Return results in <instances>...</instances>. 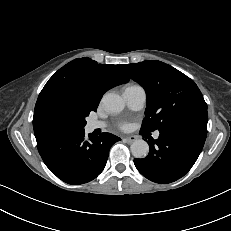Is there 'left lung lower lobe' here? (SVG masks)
<instances>
[{
  "mask_svg": "<svg viewBox=\"0 0 231 231\" xmlns=\"http://www.w3.org/2000/svg\"><path fill=\"white\" fill-rule=\"evenodd\" d=\"M159 132L157 140L148 141L149 155L134 159V164L147 179L167 184L183 177L192 168L204 146L207 126L185 123Z\"/></svg>",
  "mask_w": 231,
  "mask_h": 231,
  "instance_id": "obj_1",
  "label": "left lung lower lobe"
}]
</instances>
